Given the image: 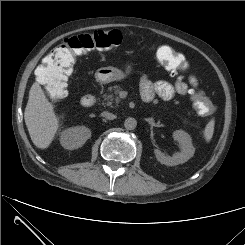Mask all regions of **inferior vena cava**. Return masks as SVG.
I'll return each instance as SVG.
<instances>
[{"mask_svg":"<svg viewBox=\"0 0 245 245\" xmlns=\"http://www.w3.org/2000/svg\"><path fill=\"white\" fill-rule=\"evenodd\" d=\"M102 116L108 120H113L116 118V115L106 111L102 113Z\"/></svg>","mask_w":245,"mask_h":245,"instance_id":"inferior-vena-cava-1","label":"inferior vena cava"}]
</instances>
